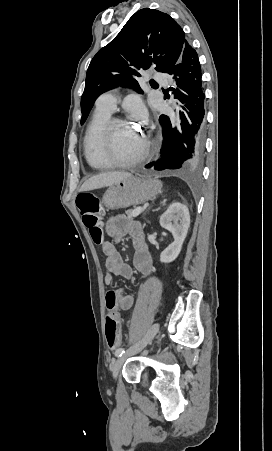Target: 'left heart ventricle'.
Here are the masks:
<instances>
[{"mask_svg": "<svg viewBox=\"0 0 272 451\" xmlns=\"http://www.w3.org/2000/svg\"><path fill=\"white\" fill-rule=\"evenodd\" d=\"M113 143L116 154L124 158L140 140L137 129L128 122H120L113 127Z\"/></svg>", "mask_w": 272, "mask_h": 451, "instance_id": "1", "label": "left heart ventricle"}]
</instances>
